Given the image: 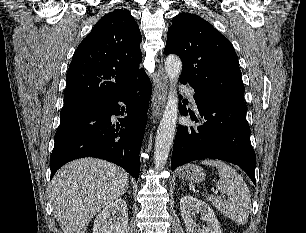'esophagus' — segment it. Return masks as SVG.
Masks as SVG:
<instances>
[{"label":"esophagus","mask_w":306,"mask_h":233,"mask_svg":"<svg viewBox=\"0 0 306 233\" xmlns=\"http://www.w3.org/2000/svg\"><path fill=\"white\" fill-rule=\"evenodd\" d=\"M168 90V78L163 67L160 66L154 81V92L152 96V119L158 118L164 107Z\"/></svg>","instance_id":"34e87169"}]
</instances>
